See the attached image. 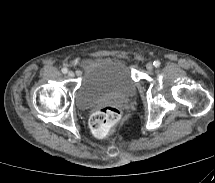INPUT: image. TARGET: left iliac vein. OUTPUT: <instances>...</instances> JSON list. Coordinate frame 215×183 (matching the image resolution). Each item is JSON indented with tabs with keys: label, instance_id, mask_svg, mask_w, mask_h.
<instances>
[{
	"label": "left iliac vein",
	"instance_id": "1",
	"mask_svg": "<svg viewBox=\"0 0 215 183\" xmlns=\"http://www.w3.org/2000/svg\"><path fill=\"white\" fill-rule=\"evenodd\" d=\"M153 64L152 63H148L147 65H146V69L148 70V71H152L153 70Z\"/></svg>",
	"mask_w": 215,
	"mask_h": 183
}]
</instances>
